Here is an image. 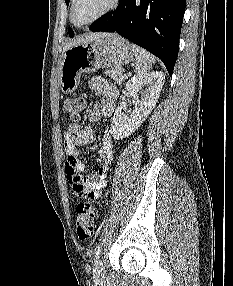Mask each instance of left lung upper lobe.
Masks as SVG:
<instances>
[{
    "instance_id": "obj_1",
    "label": "left lung upper lobe",
    "mask_w": 233,
    "mask_h": 286,
    "mask_svg": "<svg viewBox=\"0 0 233 286\" xmlns=\"http://www.w3.org/2000/svg\"><path fill=\"white\" fill-rule=\"evenodd\" d=\"M65 2H66V5L69 4V0H65ZM68 32H69V36H70V37H73V36H74V32H73V30H72L70 27L68 28Z\"/></svg>"
}]
</instances>
